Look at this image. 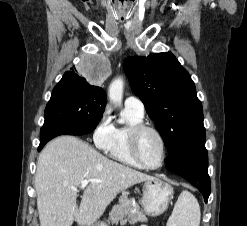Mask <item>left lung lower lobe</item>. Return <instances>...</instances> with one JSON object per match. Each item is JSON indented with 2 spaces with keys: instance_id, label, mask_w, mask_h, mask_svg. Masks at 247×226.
I'll list each match as a JSON object with an SVG mask.
<instances>
[{
  "instance_id": "obj_1",
  "label": "left lung lower lobe",
  "mask_w": 247,
  "mask_h": 226,
  "mask_svg": "<svg viewBox=\"0 0 247 226\" xmlns=\"http://www.w3.org/2000/svg\"><path fill=\"white\" fill-rule=\"evenodd\" d=\"M166 168L197 187L207 202L210 195V177L205 140L171 153L166 159Z\"/></svg>"
}]
</instances>
